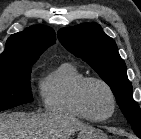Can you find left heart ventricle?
<instances>
[{"instance_id": "obj_1", "label": "left heart ventricle", "mask_w": 141, "mask_h": 139, "mask_svg": "<svg viewBox=\"0 0 141 139\" xmlns=\"http://www.w3.org/2000/svg\"><path fill=\"white\" fill-rule=\"evenodd\" d=\"M85 101L92 115L105 117L111 111V98L108 91L98 83H90L85 91Z\"/></svg>"}]
</instances>
